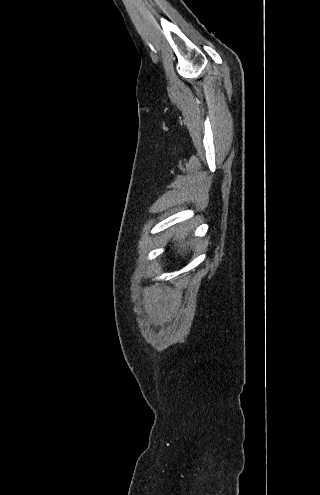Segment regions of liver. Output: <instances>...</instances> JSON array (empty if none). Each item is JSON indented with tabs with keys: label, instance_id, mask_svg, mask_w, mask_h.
I'll return each mask as SVG.
<instances>
[{
	"label": "liver",
	"instance_id": "1",
	"mask_svg": "<svg viewBox=\"0 0 320 495\" xmlns=\"http://www.w3.org/2000/svg\"><path fill=\"white\" fill-rule=\"evenodd\" d=\"M190 229H184L183 231H176L175 236H174V243L175 246H178V252L180 254H183V252H186L188 249V246L192 244V240H190Z\"/></svg>",
	"mask_w": 320,
	"mask_h": 495
}]
</instances>
